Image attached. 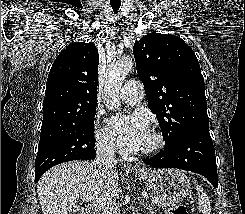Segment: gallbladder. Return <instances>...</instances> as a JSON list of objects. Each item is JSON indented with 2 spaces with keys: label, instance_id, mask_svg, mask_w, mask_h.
<instances>
[{
  "label": "gallbladder",
  "instance_id": "obj_1",
  "mask_svg": "<svg viewBox=\"0 0 245 214\" xmlns=\"http://www.w3.org/2000/svg\"><path fill=\"white\" fill-rule=\"evenodd\" d=\"M80 207L79 206H74L70 211H69V214H74L76 213L77 211H79Z\"/></svg>",
  "mask_w": 245,
  "mask_h": 214
}]
</instances>
